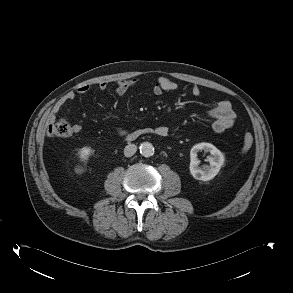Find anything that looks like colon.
I'll use <instances>...</instances> for the list:
<instances>
[{
	"label": "colon",
	"instance_id": "1",
	"mask_svg": "<svg viewBox=\"0 0 293 293\" xmlns=\"http://www.w3.org/2000/svg\"><path fill=\"white\" fill-rule=\"evenodd\" d=\"M49 133L53 136H67L71 134V126L64 117H60L51 121L49 125ZM252 145V135L250 133H245L241 148L242 153L248 152Z\"/></svg>",
	"mask_w": 293,
	"mask_h": 293
}]
</instances>
